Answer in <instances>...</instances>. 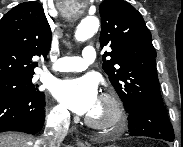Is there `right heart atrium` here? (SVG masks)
I'll return each instance as SVG.
<instances>
[{"instance_id": "d8ad5b80", "label": "right heart atrium", "mask_w": 183, "mask_h": 147, "mask_svg": "<svg viewBox=\"0 0 183 147\" xmlns=\"http://www.w3.org/2000/svg\"><path fill=\"white\" fill-rule=\"evenodd\" d=\"M68 112L61 105L53 106L48 113V119L53 125H65L68 121Z\"/></svg>"}]
</instances>
